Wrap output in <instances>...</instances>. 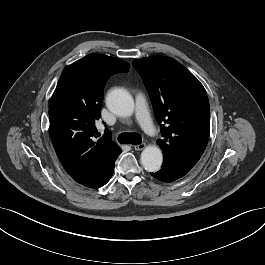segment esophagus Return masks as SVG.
I'll return each instance as SVG.
<instances>
[{
  "mask_svg": "<svg viewBox=\"0 0 265 265\" xmlns=\"http://www.w3.org/2000/svg\"><path fill=\"white\" fill-rule=\"evenodd\" d=\"M145 147H146V144H145V143H141V144H139V145H135V146H134V149H135L136 151H140V150H143Z\"/></svg>",
  "mask_w": 265,
  "mask_h": 265,
  "instance_id": "1",
  "label": "esophagus"
}]
</instances>
